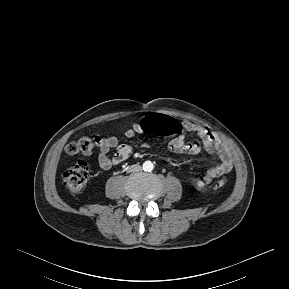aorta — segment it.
I'll return each mask as SVG.
<instances>
[{
	"mask_svg": "<svg viewBox=\"0 0 289 289\" xmlns=\"http://www.w3.org/2000/svg\"><path fill=\"white\" fill-rule=\"evenodd\" d=\"M154 169V164L151 161H145L143 163V170L151 172Z\"/></svg>",
	"mask_w": 289,
	"mask_h": 289,
	"instance_id": "762f6f07",
	"label": "aorta"
}]
</instances>
